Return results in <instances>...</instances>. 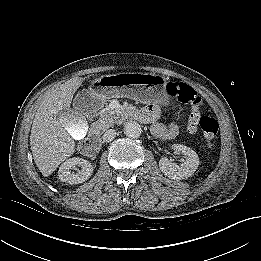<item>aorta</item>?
Returning <instances> with one entry per match:
<instances>
[{
    "instance_id": "aorta-1",
    "label": "aorta",
    "mask_w": 261,
    "mask_h": 261,
    "mask_svg": "<svg viewBox=\"0 0 261 261\" xmlns=\"http://www.w3.org/2000/svg\"><path fill=\"white\" fill-rule=\"evenodd\" d=\"M124 132L127 137L135 139L140 137L142 133V128L139 123L135 121H129L125 124Z\"/></svg>"
}]
</instances>
